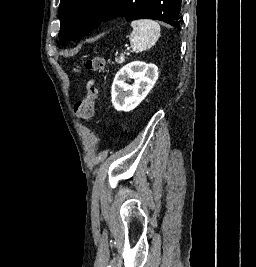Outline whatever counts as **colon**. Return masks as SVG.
I'll return each mask as SVG.
<instances>
[{
  "label": "colon",
  "mask_w": 256,
  "mask_h": 267,
  "mask_svg": "<svg viewBox=\"0 0 256 267\" xmlns=\"http://www.w3.org/2000/svg\"><path fill=\"white\" fill-rule=\"evenodd\" d=\"M86 69L91 73H97L104 70L105 61L101 57H89L85 61ZM74 73L78 72V68H73ZM99 97L97 86L91 87L86 96L77 100L73 105L74 115L81 121L85 122L94 116L95 105Z\"/></svg>",
  "instance_id": "obj_1"
}]
</instances>
